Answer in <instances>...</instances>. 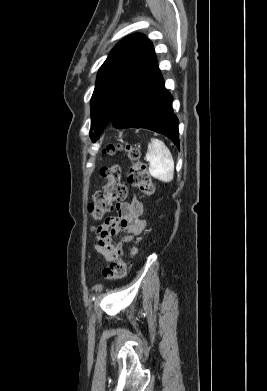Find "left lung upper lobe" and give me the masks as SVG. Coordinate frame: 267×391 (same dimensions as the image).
Returning <instances> with one entry per match:
<instances>
[{
  "instance_id": "left-lung-upper-lobe-1",
  "label": "left lung upper lobe",
  "mask_w": 267,
  "mask_h": 391,
  "mask_svg": "<svg viewBox=\"0 0 267 391\" xmlns=\"http://www.w3.org/2000/svg\"><path fill=\"white\" fill-rule=\"evenodd\" d=\"M157 64L153 45L143 34L122 39L101 66L91 98L92 129L98 139L132 88Z\"/></svg>"
}]
</instances>
